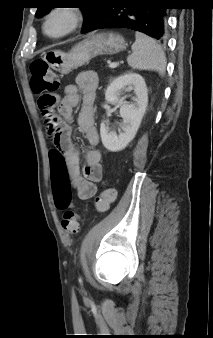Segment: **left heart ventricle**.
Listing matches in <instances>:
<instances>
[{"mask_svg":"<svg viewBox=\"0 0 213 338\" xmlns=\"http://www.w3.org/2000/svg\"><path fill=\"white\" fill-rule=\"evenodd\" d=\"M68 21L64 14H58L51 19L50 30L58 33L67 27Z\"/></svg>","mask_w":213,"mask_h":338,"instance_id":"obj_1","label":"left heart ventricle"}]
</instances>
